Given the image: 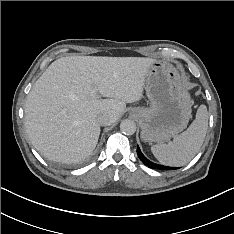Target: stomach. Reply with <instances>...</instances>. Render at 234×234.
<instances>
[{
    "instance_id": "0dacf381",
    "label": "stomach",
    "mask_w": 234,
    "mask_h": 234,
    "mask_svg": "<svg viewBox=\"0 0 234 234\" xmlns=\"http://www.w3.org/2000/svg\"><path fill=\"white\" fill-rule=\"evenodd\" d=\"M149 108H133L141 127V138L161 143L183 131L191 117V99L179 72L167 61L155 60L145 76Z\"/></svg>"
}]
</instances>
